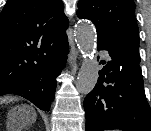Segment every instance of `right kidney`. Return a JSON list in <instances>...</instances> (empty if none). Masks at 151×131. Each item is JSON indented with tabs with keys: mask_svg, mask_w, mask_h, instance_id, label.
I'll return each instance as SVG.
<instances>
[{
	"mask_svg": "<svg viewBox=\"0 0 151 131\" xmlns=\"http://www.w3.org/2000/svg\"><path fill=\"white\" fill-rule=\"evenodd\" d=\"M17 129H16V127H12V129H11V131H16Z\"/></svg>",
	"mask_w": 151,
	"mask_h": 131,
	"instance_id": "right-kidney-1",
	"label": "right kidney"
}]
</instances>
